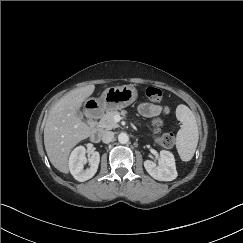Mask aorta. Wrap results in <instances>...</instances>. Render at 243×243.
I'll return each instance as SVG.
<instances>
[{
    "mask_svg": "<svg viewBox=\"0 0 243 243\" xmlns=\"http://www.w3.org/2000/svg\"><path fill=\"white\" fill-rule=\"evenodd\" d=\"M118 141L121 143V144H126L128 141H129V136L127 133H120L118 135Z\"/></svg>",
    "mask_w": 243,
    "mask_h": 243,
    "instance_id": "obj_1",
    "label": "aorta"
}]
</instances>
